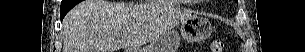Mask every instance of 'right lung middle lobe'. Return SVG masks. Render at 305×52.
<instances>
[{
	"instance_id": "obj_1",
	"label": "right lung middle lobe",
	"mask_w": 305,
	"mask_h": 52,
	"mask_svg": "<svg viewBox=\"0 0 305 52\" xmlns=\"http://www.w3.org/2000/svg\"><path fill=\"white\" fill-rule=\"evenodd\" d=\"M65 2H66V1H65ZM67 2L79 3V2H80V0H69V1H67Z\"/></svg>"
}]
</instances>
